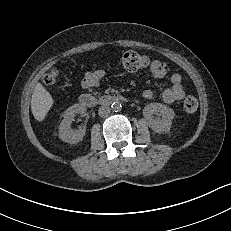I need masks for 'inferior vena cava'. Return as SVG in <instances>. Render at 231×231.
<instances>
[{
    "instance_id": "obj_1",
    "label": "inferior vena cava",
    "mask_w": 231,
    "mask_h": 231,
    "mask_svg": "<svg viewBox=\"0 0 231 231\" xmlns=\"http://www.w3.org/2000/svg\"><path fill=\"white\" fill-rule=\"evenodd\" d=\"M111 109L109 106H101L98 110V114L100 117H106L110 113Z\"/></svg>"
}]
</instances>
